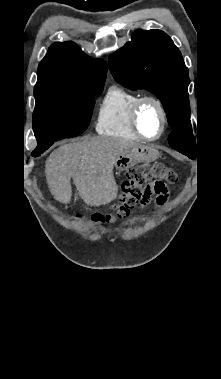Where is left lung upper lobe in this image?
<instances>
[{"mask_svg":"<svg viewBox=\"0 0 221 379\" xmlns=\"http://www.w3.org/2000/svg\"><path fill=\"white\" fill-rule=\"evenodd\" d=\"M109 69L123 86L146 89L161 100L168 123L174 127L168 136L169 144L195 159L188 69L171 38L160 30H137L130 42L109 56Z\"/></svg>","mask_w":221,"mask_h":379,"instance_id":"left-lung-upper-lobe-1","label":"left lung upper lobe"}]
</instances>
